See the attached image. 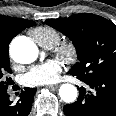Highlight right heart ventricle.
I'll return each mask as SVG.
<instances>
[{"instance_id":"obj_1","label":"right heart ventricle","mask_w":116,"mask_h":116,"mask_svg":"<svg viewBox=\"0 0 116 116\" xmlns=\"http://www.w3.org/2000/svg\"><path fill=\"white\" fill-rule=\"evenodd\" d=\"M33 39L42 47L50 48L59 42V32L49 26H39L31 31Z\"/></svg>"}]
</instances>
